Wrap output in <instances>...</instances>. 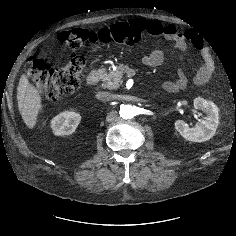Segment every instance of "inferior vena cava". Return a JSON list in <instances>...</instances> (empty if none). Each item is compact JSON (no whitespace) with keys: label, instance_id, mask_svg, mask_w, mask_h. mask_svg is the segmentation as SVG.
Returning a JSON list of instances; mask_svg holds the SVG:
<instances>
[{"label":"inferior vena cava","instance_id":"obj_1","mask_svg":"<svg viewBox=\"0 0 236 236\" xmlns=\"http://www.w3.org/2000/svg\"><path fill=\"white\" fill-rule=\"evenodd\" d=\"M97 99L107 102L113 100V94L109 92H98L96 94Z\"/></svg>","mask_w":236,"mask_h":236}]
</instances>
